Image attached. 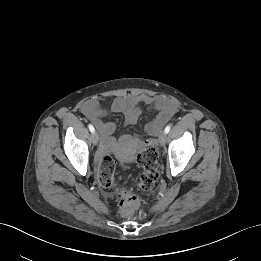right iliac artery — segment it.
Segmentation results:
<instances>
[{
	"label": "right iliac artery",
	"instance_id": "82829eb1",
	"mask_svg": "<svg viewBox=\"0 0 261 261\" xmlns=\"http://www.w3.org/2000/svg\"><path fill=\"white\" fill-rule=\"evenodd\" d=\"M88 127H89V130H90V132H92V133H93V132L95 131V129H94V127H93V125L89 124V125H88Z\"/></svg>",
	"mask_w": 261,
	"mask_h": 261
}]
</instances>
